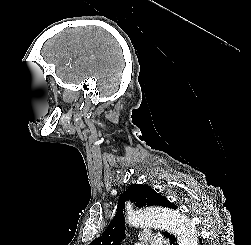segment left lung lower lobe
Listing matches in <instances>:
<instances>
[{"instance_id": "left-lung-lower-lobe-1", "label": "left lung lower lobe", "mask_w": 251, "mask_h": 245, "mask_svg": "<svg viewBox=\"0 0 251 245\" xmlns=\"http://www.w3.org/2000/svg\"><path fill=\"white\" fill-rule=\"evenodd\" d=\"M164 235H165V237H167V238L169 239L171 245H176V244H177L176 238H175L172 234H170V233H165ZM201 240H202V239L199 238V241H201ZM200 245H203V244L201 243Z\"/></svg>"}]
</instances>
